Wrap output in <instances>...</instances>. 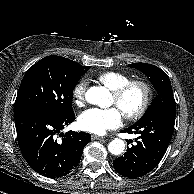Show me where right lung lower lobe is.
Listing matches in <instances>:
<instances>
[{
  "label": "right lung lower lobe",
  "instance_id": "right-lung-lower-lobe-1",
  "mask_svg": "<svg viewBox=\"0 0 194 194\" xmlns=\"http://www.w3.org/2000/svg\"><path fill=\"white\" fill-rule=\"evenodd\" d=\"M20 150L30 167L46 177H61L79 163L90 134L69 131L60 142L55 134L74 121V112L56 115L47 110L30 108L14 112Z\"/></svg>",
  "mask_w": 194,
  "mask_h": 194
}]
</instances>
